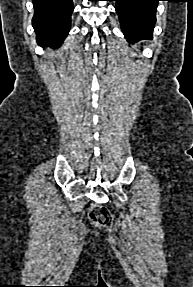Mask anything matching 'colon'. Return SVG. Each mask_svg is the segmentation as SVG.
I'll return each mask as SVG.
<instances>
[{
  "label": "colon",
  "instance_id": "obj_1",
  "mask_svg": "<svg viewBox=\"0 0 193 287\" xmlns=\"http://www.w3.org/2000/svg\"><path fill=\"white\" fill-rule=\"evenodd\" d=\"M90 220L98 226L107 227L112 222L111 212L104 206L93 205L89 209Z\"/></svg>",
  "mask_w": 193,
  "mask_h": 287
}]
</instances>
